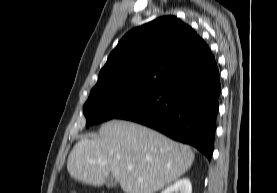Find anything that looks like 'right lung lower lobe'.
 <instances>
[{
    "mask_svg": "<svg viewBox=\"0 0 277 193\" xmlns=\"http://www.w3.org/2000/svg\"><path fill=\"white\" fill-rule=\"evenodd\" d=\"M220 75L214 56L161 85L119 119L151 127L196 147L210 161L214 147Z\"/></svg>",
    "mask_w": 277,
    "mask_h": 193,
    "instance_id": "1",
    "label": "right lung lower lobe"
}]
</instances>
